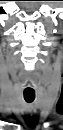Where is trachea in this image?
Masks as SVG:
<instances>
[{"label": "trachea", "instance_id": "obj_1", "mask_svg": "<svg viewBox=\"0 0 63 130\" xmlns=\"http://www.w3.org/2000/svg\"><path fill=\"white\" fill-rule=\"evenodd\" d=\"M24 99L27 103H31L35 99V93L34 92H24Z\"/></svg>", "mask_w": 63, "mask_h": 130}]
</instances>
